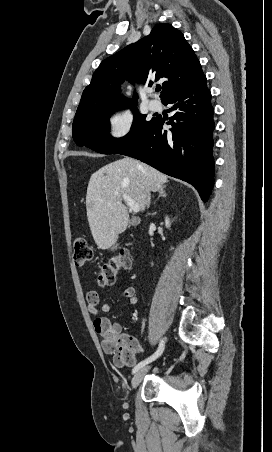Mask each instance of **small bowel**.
<instances>
[{"instance_id":"small-bowel-1","label":"small bowel","mask_w":272,"mask_h":452,"mask_svg":"<svg viewBox=\"0 0 272 452\" xmlns=\"http://www.w3.org/2000/svg\"><path fill=\"white\" fill-rule=\"evenodd\" d=\"M123 296L130 302V304L135 305L138 303L136 290L132 286L126 287L123 290ZM86 303L87 310L93 317V328L95 332L101 336V345L105 352H112L107 346L112 338L123 336L126 339L136 341L133 337L123 334L121 325L113 324L109 319L99 315L100 311L109 312L111 310V304L105 302L99 307L100 296L96 290L89 289L86 292ZM138 347L141 349L139 345Z\"/></svg>"}]
</instances>
